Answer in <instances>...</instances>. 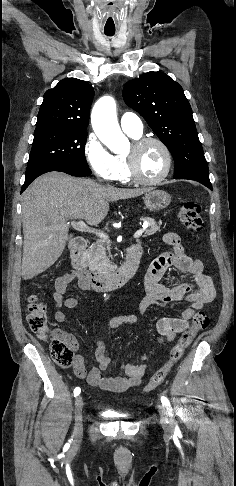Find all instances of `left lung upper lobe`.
<instances>
[{
	"label": "left lung upper lobe",
	"instance_id": "5c2ea615",
	"mask_svg": "<svg viewBox=\"0 0 236 486\" xmlns=\"http://www.w3.org/2000/svg\"><path fill=\"white\" fill-rule=\"evenodd\" d=\"M123 98L171 151L175 179L210 183L192 109L177 82L163 72L144 73L125 84Z\"/></svg>",
	"mask_w": 236,
	"mask_h": 486
}]
</instances>
